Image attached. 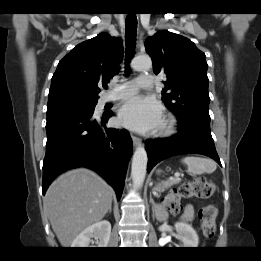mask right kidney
I'll return each instance as SVG.
<instances>
[{"label":"right kidney","instance_id":"obj_1","mask_svg":"<svg viewBox=\"0 0 261 261\" xmlns=\"http://www.w3.org/2000/svg\"><path fill=\"white\" fill-rule=\"evenodd\" d=\"M111 235V224L107 220L97 222L83 230L72 242L73 248H105ZM92 238L96 239L94 242ZM96 244L95 246L93 244ZM90 244H92L90 246Z\"/></svg>","mask_w":261,"mask_h":261}]
</instances>
